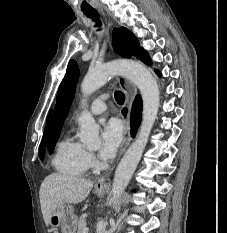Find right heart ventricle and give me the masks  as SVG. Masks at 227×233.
Returning a JSON list of instances; mask_svg holds the SVG:
<instances>
[{
	"label": "right heart ventricle",
	"mask_w": 227,
	"mask_h": 233,
	"mask_svg": "<svg viewBox=\"0 0 227 233\" xmlns=\"http://www.w3.org/2000/svg\"><path fill=\"white\" fill-rule=\"evenodd\" d=\"M52 164L63 175L82 177L87 173L89 168L87 151L74 138L65 136L57 144Z\"/></svg>",
	"instance_id": "e07e8e85"
}]
</instances>
